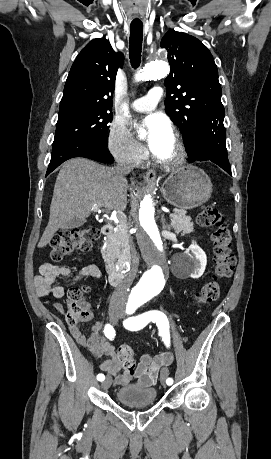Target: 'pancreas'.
<instances>
[{
	"mask_svg": "<svg viewBox=\"0 0 271 459\" xmlns=\"http://www.w3.org/2000/svg\"><path fill=\"white\" fill-rule=\"evenodd\" d=\"M175 217L172 218V226L175 229L176 233L182 231V235L184 233H191L194 231V224L191 222L190 216H185V210H174ZM119 224L117 226V231L114 233H110L108 235V239H106L104 249H101L102 255L104 259L108 257V255H115V256H122L126 253V250L122 248V245H128V229L129 224H127L126 218H118Z\"/></svg>",
	"mask_w": 271,
	"mask_h": 459,
	"instance_id": "obj_1",
	"label": "pancreas"
}]
</instances>
